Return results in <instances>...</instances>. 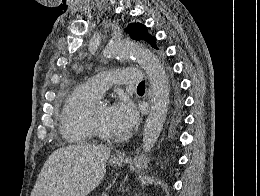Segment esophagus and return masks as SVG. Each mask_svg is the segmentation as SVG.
Here are the masks:
<instances>
[{
  "label": "esophagus",
  "instance_id": "34e87169",
  "mask_svg": "<svg viewBox=\"0 0 260 196\" xmlns=\"http://www.w3.org/2000/svg\"><path fill=\"white\" fill-rule=\"evenodd\" d=\"M115 159H122L124 158V155L121 152H116V154L114 155Z\"/></svg>",
  "mask_w": 260,
  "mask_h": 196
}]
</instances>
